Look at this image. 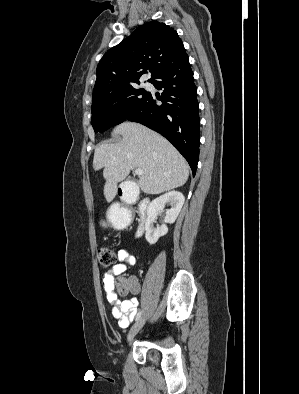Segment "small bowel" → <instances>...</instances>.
<instances>
[{
	"label": "small bowel",
	"instance_id": "1",
	"mask_svg": "<svg viewBox=\"0 0 299 394\" xmlns=\"http://www.w3.org/2000/svg\"><path fill=\"white\" fill-rule=\"evenodd\" d=\"M116 210L118 213H122L123 208L117 207ZM117 257L120 263L114 265L104 273L102 285L106 293L107 302L112 306V316L117 320V324L120 328H127L137 315L139 301L137 298L119 300L113 293L112 281L115 276L124 274L127 271L128 265H135L136 258L125 248H120L118 250ZM130 279L132 281L130 293L133 295L139 294L140 284L137 277L131 276Z\"/></svg>",
	"mask_w": 299,
	"mask_h": 394
}]
</instances>
